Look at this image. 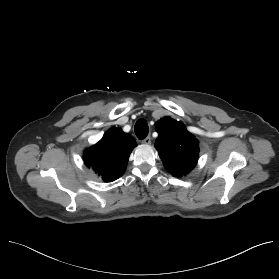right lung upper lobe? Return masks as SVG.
I'll use <instances>...</instances> for the list:
<instances>
[{"label":"right lung upper lobe","mask_w":279,"mask_h":279,"mask_svg":"<svg viewBox=\"0 0 279 279\" xmlns=\"http://www.w3.org/2000/svg\"><path fill=\"white\" fill-rule=\"evenodd\" d=\"M135 146L131 135L120 128H111L97 144L85 151L84 161L102 180L111 182L122 176Z\"/></svg>","instance_id":"obj_1"}]
</instances>
